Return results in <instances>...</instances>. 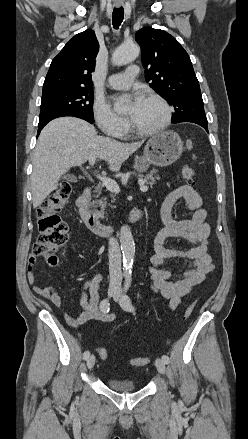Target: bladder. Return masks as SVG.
<instances>
[{
    "mask_svg": "<svg viewBox=\"0 0 248 439\" xmlns=\"http://www.w3.org/2000/svg\"><path fill=\"white\" fill-rule=\"evenodd\" d=\"M107 383L109 388L115 392H133L136 390V385L131 380L109 378Z\"/></svg>",
    "mask_w": 248,
    "mask_h": 439,
    "instance_id": "1",
    "label": "bladder"
}]
</instances>
